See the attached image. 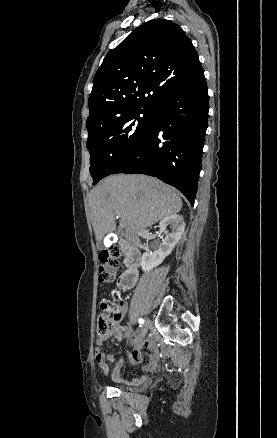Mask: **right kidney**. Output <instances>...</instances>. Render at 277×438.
<instances>
[{
	"label": "right kidney",
	"instance_id": "1",
	"mask_svg": "<svg viewBox=\"0 0 277 438\" xmlns=\"http://www.w3.org/2000/svg\"><path fill=\"white\" fill-rule=\"evenodd\" d=\"M168 226H170L171 232L167 230ZM158 228H160V232H164L165 238L162 240V244L157 252H144L141 258L143 272H150V270L162 264L166 256L171 254L185 230L184 218L183 216H178V214H172V216H167V218L161 220Z\"/></svg>",
	"mask_w": 277,
	"mask_h": 438
}]
</instances>
